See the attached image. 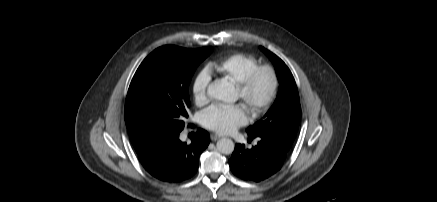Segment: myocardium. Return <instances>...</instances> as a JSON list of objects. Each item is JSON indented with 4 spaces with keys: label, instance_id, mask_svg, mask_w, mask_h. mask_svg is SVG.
Returning a JSON list of instances; mask_svg holds the SVG:
<instances>
[{
    "label": "myocardium",
    "instance_id": "f54148a6",
    "mask_svg": "<svg viewBox=\"0 0 437 202\" xmlns=\"http://www.w3.org/2000/svg\"><path fill=\"white\" fill-rule=\"evenodd\" d=\"M266 73L270 79V87L268 93L260 100H254L250 96L252 86L256 78ZM237 88L241 93V99L248 106L251 114L255 117L264 113L272 103L278 88V75L275 69L270 65H258L250 70L245 77L237 83Z\"/></svg>",
    "mask_w": 437,
    "mask_h": 202
}]
</instances>
